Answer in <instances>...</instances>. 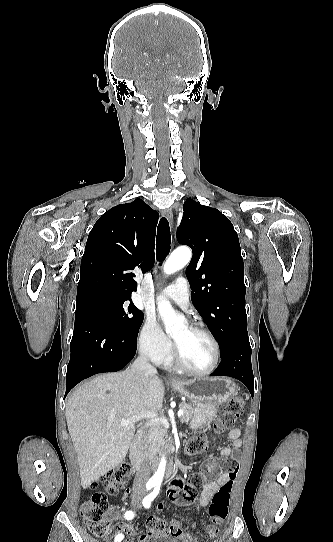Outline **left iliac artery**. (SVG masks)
<instances>
[{"label":"left iliac artery","instance_id":"44dca946","mask_svg":"<svg viewBox=\"0 0 333 542\" xmlns=\"http://www.w3.org/2000/svg\"><path fill=\"white\" fill-rule=\"evenodd\" d=\"M160 485H161V483H156L153 492H152L151 494H149V496L146 497V498L143 500V506H144L145 508H149L150 505H151V501H153L154 498L158 495L159 490H160Z\"/></svg>","mask_w":333,"mask_h":542}]
</instances>
